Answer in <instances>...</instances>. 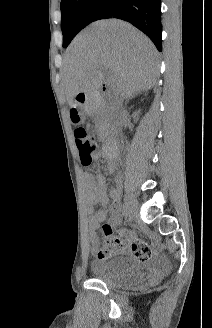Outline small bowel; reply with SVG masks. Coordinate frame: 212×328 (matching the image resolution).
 <instances>
[{
    "label": "small bowel",
    "mask_w": 212,
    "mask_h": 328,
    "mask_svg": "<svg viewBox=\"0 0 212 328\" xmlns=\"http://www.w3.org/2000/svg\"><path fill=\"white\" fill-rule=\"evenodd\" d=\"M83 188L85 200L88 207L91 209L95 205H101L102 208L91 215V246L97 252L98 258L107 259L112 255H131L132 257L142 260L146 251L152 254L151 249L141 240H139L134 231L121 230L116 237V244L113 251L108 256H102L99 250V239L95 234V230L105 221L107 214H110L109 224L111 230L121 223V207L119 203V190L117 188L111 189L107 192V183L101 174L93 176L91 174H84ZM112 199V204L108 206L109 199Z\"/></svg>",
    "instance_id": "c3829d8e"
}]
</instances>
